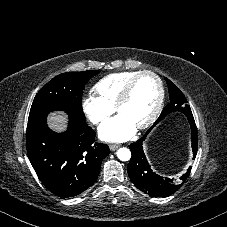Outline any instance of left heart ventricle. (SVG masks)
<instances>
[{
	"instance_id": "obj_1",
	"label": "left heart ventricle",
	"mask_w": 227,
	"mask_h": 227,
	"mask_svg": "<svg viewBox=\"0 0 227 227\" xmlns=\"http://www.w3.org/2000/svg\"><path fill=\"white\" fill-rule=\"evenodd\" d=\"M157 98L156 80L149 75L141 76L135 84L130 99L120 107L119 114L126 116L135 126H138L149 118Z\"/></svg>"
}]
</instances>
